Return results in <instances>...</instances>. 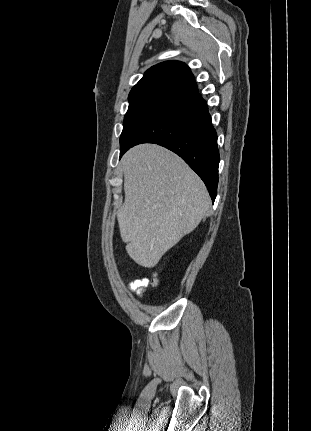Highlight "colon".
Instances as JSON below:
<instances>
[{"label":"colon","mask_w":311,"mask_h":431,"mask_svg":"<svg viewBox=\"0 0 311 431\" xmlns=\"http://www.w3.org/2000/svg\"><path fill=\"white\" fill-rule=\"evenodd\" d=\"M152 282H154V283H156V282H157L156 277H154V278H153V281H152Z\"/></svg>","instance_id":"colon-1"}]
</instances>
